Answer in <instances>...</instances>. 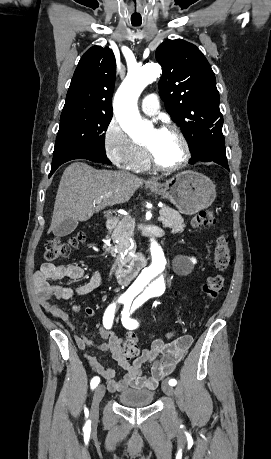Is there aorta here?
Listing matches in <instances>:
<instances>
[{
    "instance_id": "aorta-1",
    "label": "aorta",
    "mask_w": 271,
    "mask_h": 459,
    "mask_svg": "<svg viewBox=\"0 0 271 459\" xmlns=\"http://www.w3.org/2000/svg\"><path fill=\"white\" fill-rule=\"evenodd\" d=\"M162 73L161 67L150 63L131 70L119 87L114 98V112L122 129L133 139L142 140L147 136L149 124L142 120L137 101L143 89L156 81ZM168 260L162 247L151 240L150 255L144 269L132 285V289L144 292L150 297L164 293L167 284Z\"/></svg>"
}]
</instances>
